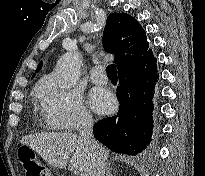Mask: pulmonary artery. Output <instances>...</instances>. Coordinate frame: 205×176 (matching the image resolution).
Returning a JSON list of instances; mask_svg holds the SVG:
<instances>
[{"label":"pulmonary artery","instance_id":"pulmonary-artery-1","mask_svg":"<svg viewBox=\"0 0 205 176\" xmlns=\"http://www.w3.org/2000/svg\"><path fill=\"white\" fill-rule=\"evenodd\" d=\"M90 78L96 84L104 85L108 83V78L102 73L101 66H95L94 68H92L90 72Z\"/></svg>","mask_w":205,"mask_h":176}]
</instances>
